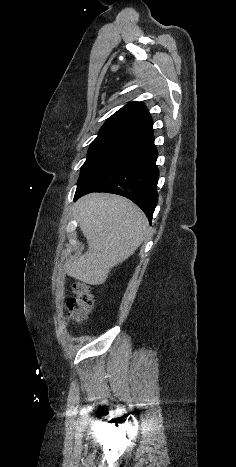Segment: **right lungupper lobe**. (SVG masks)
<instances>
[{
    "mask_svg": "<svg viewBox=\"0 0 236 467\" xmlns=\"http://www.w3.org/2000/svg\"><path fill=\"white\" fill-rule=\"evenodd\" d=\"M102 128L126 129L142 135L152 130V119L142 102H131L108 118Z\"/></svg>",
    "mask_w": 236,
    "mask_h": 467,
    "instance_id": "1",
    "label": "right lung upper lobe"
}]
</instances>
